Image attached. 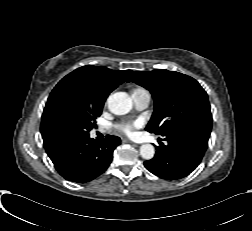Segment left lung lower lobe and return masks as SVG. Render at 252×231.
<instances>
[{
    "mask_svg": "<svg viewBox=\"0 0 252 231\" xmlns=\"http://www.w3.org/2000/svg\"><path fill=\"white\" fill-rule=\"evenodd\" d=\"M211 128L187 125L169 131L164 137L168 145L160 143L157 152L145 167L166 180L189 175L200 163L208 147Z\"/></svg>",
    "mask_w": 252,
    "mask_h": 231,
    "instance_id": "left-lung-lower-lobe-1",
    "label": "left lung lower lobe"
}]
</instances>
